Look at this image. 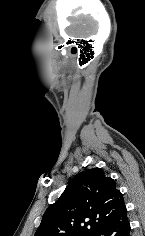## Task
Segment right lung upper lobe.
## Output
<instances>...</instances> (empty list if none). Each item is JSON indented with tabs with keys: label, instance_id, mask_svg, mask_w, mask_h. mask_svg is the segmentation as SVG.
Listing matches in <instances>:
<instances>
[{
	"label": "right lung upper lobe",
	"instance_id": "right-lung-upper-lobe-1",
	"mask_svg": "<svg viewBox=\"0 0 145 236\" xmlns=\"http://www.w3.org/2000/svg\"><path fill=\"white\" fill-rule=\"evenodd\" d=\"M124 207L115 181L101 168L89 169L74 176L47 209L35 236H93Z\"/></svg>",
	"mask_w": 145,
	"mask_h": 236
}]
</instances>
